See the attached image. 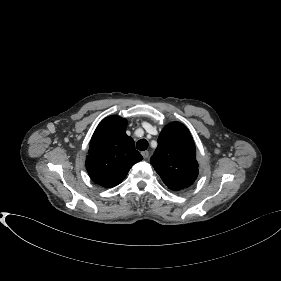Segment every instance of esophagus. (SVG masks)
I'll list each match as a JSON object with an SVG mask.
<instances>
[{
    "instance_id": "obj_1",
    "label": "esophagus",
    "mask_w": 281,
    "mask_h": 281,
    "mask_svg": "<svg viewBox=\"0 0 281 281\" xmlns=\"http://www.w3.org/2000/svg\"><path fill=\"white\" fill-rule=\"evenodd\" d=\"M141 154H142L144 159H147L149 157V152L148 151H142Z\"/></svg>"
}]
</instances>
